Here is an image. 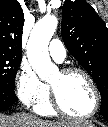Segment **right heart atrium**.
<instances>
[{
	"mask_svg": "<svg viewBox=\"0 0 108 127\" xmlns=\"http://www.w3.org/2000/svg\"><path fill=\"white\" fill-rule=\"evenodd\" d=\"M15 91L25 105L32 106L42 100L47 86L28 63L22 62L15 75Z\"/></svg>",
	"mask_w": 108,
	"mask_h": 127,
	"instance_id": "right-heart-atrium-1",
	"label": "right heart atrium"
}]
</instances>
